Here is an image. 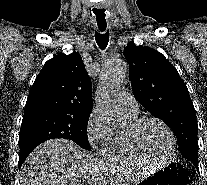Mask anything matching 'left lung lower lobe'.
<instances>
[{
	"label": "left lung lower lobe",
	"mask_w": 207,
	"mask_h": 185,
	"mask_svg": "<svg viewBox=\"0 0 207 185\" xmlns=\"http://www.w3.org/2000/svg\"><path fill=\"white\" fill-rule=\"evenodd\" d=\"M189 161L198 169V158L190 159Z\"/></svg>",
	"instance_id": "left-lung-lower-lobe-1"
}]
</instances>
